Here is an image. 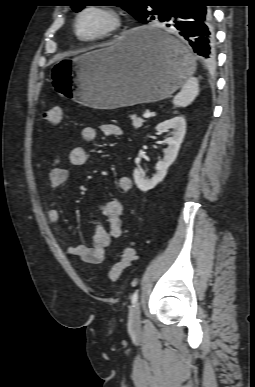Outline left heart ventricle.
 I'll return each mask as SVG.
<instances>
[{
	"instance_id": "1",
	"label": "left heart ventricle",
	"mask_w": 255,
	"mask_h": 387,
	"mask_svg": "<svg viewBox=\"0 0 255 387\" xmlns=\"http://www.w3.org/2000/svg\"><path fill=\"white\" fill-rule=\"evenodd\" d=\"M107 24V19L98 13H87L80 20V31L84 36L93 35L102 30Z\"/></svg>"
}]
</instances>
